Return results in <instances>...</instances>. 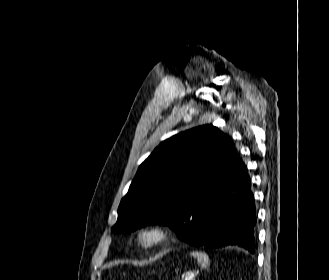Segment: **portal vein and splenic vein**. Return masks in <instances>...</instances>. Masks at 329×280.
<instances>
[{"mask_svg": "<svg viewBox=\"0 0 329 280\" xmlns=\"http://www.w3.org/2000/svg\"><path fill=\"white\" fill-rule=\"evenodd\" d=\"M194 275L189 276L188 278H185V280H194Z\"/></svg>", "mask_w": 329, "mask_h": 280, "instance_id": "1", "label": "portal vein and splenic vein"}]
</instances>
